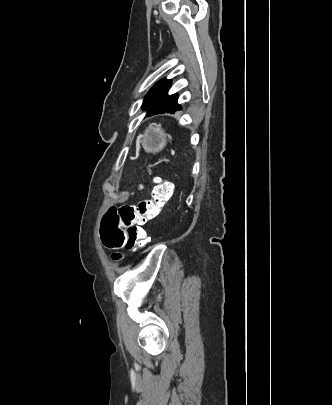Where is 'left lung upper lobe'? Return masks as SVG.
<instances>
[{"instance_id": "left-lung-upper-lobe-1", "label": "left lung upper lobe", "mask_w": 332, "mask_h": 405, "mask_svg": "<svg viewBox=\"0 0 332 405\" xmlns=\"http://www.w3.org/2000/svg\"><path fill=\"white\" fill-rule=\"evenodd\" d=\"M170 88V80L162 79L157 82L154 87L148 92L143 101V109L149 105L154 104L156 108L178 111L181 106L177 103V94L168 95V89Z\"/></svg>"}]
</instances>
